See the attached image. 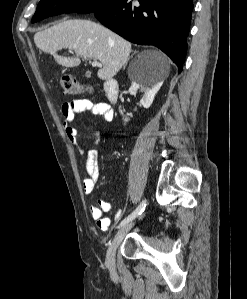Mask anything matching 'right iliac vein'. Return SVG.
Here are the masks:
<instances>
[{
  "label": "right iliac vein",
  "mask_w": 247,
  "mask_h": 299,
  "mask_svg": "<svg viewBox=\"0 0 247 299\" xmlns=\"http://www.w3.org/2000/svg\"><path fill=\"white\" fill-rule=\"evenodd\" d=\"M134 222H130L123 227L117 232L115 235L114 239L110 243L107 254H106V261L110 267H113L115 264V254L118 246L122 242L123 238L125 235L129 232V230L133 227Z\"/></svg>",
  "instance_id": "right-iliac-vein-1"
}]
</instances>
